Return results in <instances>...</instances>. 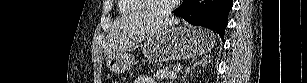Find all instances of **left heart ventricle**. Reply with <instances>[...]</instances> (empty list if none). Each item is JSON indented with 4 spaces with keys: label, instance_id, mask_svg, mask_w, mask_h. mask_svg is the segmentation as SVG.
<instances>
[{
    "label": "left heart ventricle",
    "instance_id": "1",
    "mask_svg": "<svg viewBox=\"0 0 307 83\" xmlns=\"http://www.w3.org/2000/svg\"><path fill=\"white\" fill-rule=\"evenodd\" d=\"M170 2H172V0H154V1H151V5L154 8L158 9V8L165 7Z\"/></svg>",
    "mask_w": 307,
    "mask_h": 83
}]
</instances>
